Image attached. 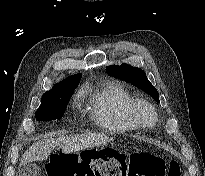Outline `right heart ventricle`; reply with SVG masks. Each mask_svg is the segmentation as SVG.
<instances>
[{
    "instance_id": "1",
    "label": "right heart ventricle",
    "mask_w": 205,
    "mask_h": 176,
    "mask_svg": "<svg viewBox=\"0 0 205 176\" xmlns=\"http://www.w3.org/2000/svg\"><path fill=\"white\" fill-rule=\"evenodd\" d=\"M134 97L115 81L100 82L90 105L96 124L111 133L124 134L137 128L130 110Z\"/></svg>"
}]
</instances>
